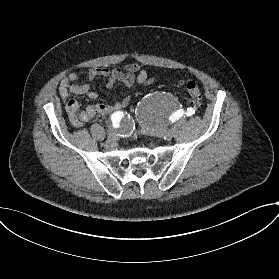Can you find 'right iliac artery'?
Wrapping results in <instances>:
<instances>
[{"label": "right iliac artery", "instance_id": "82829eb1", "mask_svg": "<svg viewBox=\"0 0 279 279\" xmlns=\"http://www.w3.org/2000/svg\"><path fill=\"white\" fill-rule=\"evenodd\" d=\"M121 119V115L120 112L114 113L111 117L112 120V126L114 128H118L119 127V121Z\"/></svg>", "mask_w": 279, "mask_h": 279}]
</instances>
